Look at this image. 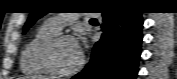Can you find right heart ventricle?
I'll return each mask as SVG.
<instances>
[{"mask_svg": "<svg viewBox=\"0 0 177 79\" xmlns=\"http://www.w3.org/2000/svg\"><path fill=\"white\" fill-rule=\"evenodd\" d=\"M58 32L59 31L53 29L47 23H44L35 30L31 38L25 44L21 54L20 67L22 72L36 76L48 74L39 62L38 51L46 40L54 37Z\"/></svg>", "mask_w": 177, "mask_h": 79, "instance_id": "1", "label": "right heart ventricle"}]
</instances>
